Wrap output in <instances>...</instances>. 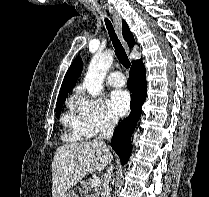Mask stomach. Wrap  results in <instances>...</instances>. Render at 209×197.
Listing matches in <instances>:
<instances>
[{"label": "stomach", "instance_id": "0dacf381", "mask_svg": "<svg viewBox=\"0 0 209 197\" xmlns=\"http://www.w3.org/2000/svg\"><path fill=\"white\" fill-rule=\"evenodd\" d=\"M61 197H78V195L76 194V192L68 190L67 192L62 194Z\"/></svg>", "mask_w": 209, "mask_h": 197}]
</instances>
